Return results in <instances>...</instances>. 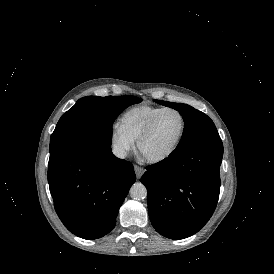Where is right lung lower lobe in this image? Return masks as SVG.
I'll use <instances>...</instances> for the list:
<instances>
[{
    "label": "right lung lower lobe",
    "instance_id": "right-lung-lower-lobe-1",
    "mask_svg": "<svg viewBox=\"0 0 274 274\" xmlns=\"http://www.w3.org/2000/svg\"><path fill=\"white\" fill-rule=\"evenodd\" d=\"M136 176L132 163L111 152V133L95 132L50 153L48 183L55 210L73 234L109 233Z\"/></svg>",
    "mask_w": 274,
    "mask_h": 274
}]
</instances>
